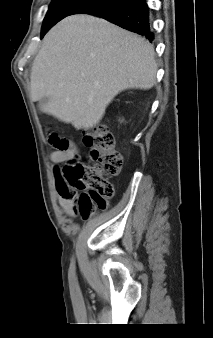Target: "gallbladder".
Segmentation results:
<instances>
[{"instance_id":"bac80fb5","label":"gallbladder","mask_w":213,"mask_h":338,"mask_svg":"<svg viewBox=\"0 0 213 338\" xmlns=\"http://www.w3.org/2000/svg\"><path fill=\"white\" fill-rule=\"evenodd\" d=\"M48 101V98L44 97L41 100L38 101V107L41 108L43 104H45Z\"/></svg>"}]
</instances>
